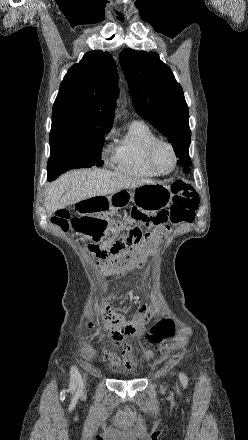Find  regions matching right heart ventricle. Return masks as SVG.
Wrapping results in <instances>:
<instances>
[{
    "instance_id": "obj_1",
    "label": "right heart ventricle",
    "mask_w": 248,
    "mask_h": 440,
    "mask_svg": "<svg viewBox=\"0 0 248 440\" xmlns=\"http://www.w3.org/2000/svg\"><path fill=\"white\" fill-rule=\"evenodd\" d=\"M156 139L157 136L147 124L133 121L126 134L116 142L112 157L115 170L134 177H155L157 174L146 164L145 152Z\"/></svg>"
}]
</instances>
